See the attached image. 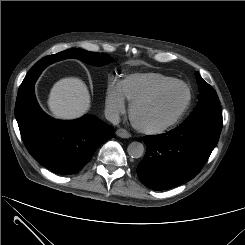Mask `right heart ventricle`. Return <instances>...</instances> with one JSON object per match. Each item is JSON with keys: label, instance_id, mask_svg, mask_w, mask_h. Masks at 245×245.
I'll use <instances>...</instances> for the list:
<instances>
[{"label": "right heart ventricle", "instance_id": "1", "mask_svg": "<svg viewBox=\"0 0 245 245\" xmlns=\"http://www.w3.org/2000/svg\"><path fill=\"white\" fill-rule=\"evenodd\" d=\"M175 80L160 73H136L126 76L120 83L125 99L132 103L137 98Z\"/></svg>", "mask_w": 245, "mask_h": 245}]
</instances>
